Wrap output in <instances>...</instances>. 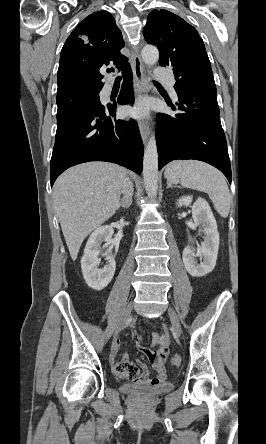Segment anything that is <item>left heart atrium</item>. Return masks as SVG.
Returning <instances> with one entry per match:
<instances>
[{
  "label": "left heart atrium",
  "mask_w": 266,
  "mask_h": 444,
  "mask_svg": "<svg viewBox=\"0 0 266 444\" xmlns=\"http://www.w3.org/2000/svg\"><path fill=\"white\" fill-rule=\"evenodd\" d=\"M148 110L149 106L146 101H138L135 105L128 107L126 112L130 116L139 118L146 116Z\"/></svg>",
  "instance_id": "left-heart-atrium-1"
}]
</instances>
